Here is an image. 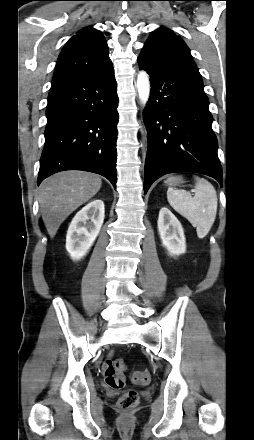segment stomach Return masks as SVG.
Wrapping results in <instances>:
<instances>
[{"label": "stomach", "instance_id": "0dacf381", "mask_svg": "<svg viewBox=\"0 0 254 440\" xmlns=\"http://www.w3.org/2000/svg\"><path fill=\"white\" fill-rule=\"evenodd\" d=\"M181 183H183V179L180 176H171L165 181V184L169 186H177Z\"/></svg>", "mask_w": 254, "mask_h": 440}]
</instances>
